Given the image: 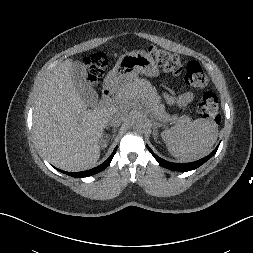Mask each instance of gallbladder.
<instances>
[{"label":"gallbladder","instance_id":"gallbladder-1","mask_svg":"<svg viewBox=\"0 0 253 253\" xmlns=\"http://www.w3.org/2000/svg\"><path fill=\"white\" fill-rule=\"evenodd\" d=\"M86 68L79 61L73 62L72 78L74 86L80 97L87 105H94L98 102V97L90 83L86 79Z\"/></svg>","mask_w":253,"mask_h":253}]
</instances>
